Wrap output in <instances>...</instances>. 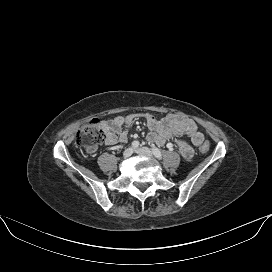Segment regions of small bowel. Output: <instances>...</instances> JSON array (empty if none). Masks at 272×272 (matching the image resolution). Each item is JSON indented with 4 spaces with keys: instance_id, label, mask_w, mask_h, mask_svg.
Wrapping results in <instances>:
<instances>
[{
    "instance_id": "obj_1",
    "label": "small bowel",
    "mask_w": 272,
    "mask_h": 272,
    "mask_svg": "<svg viewBox=\"0 0 272 272\" xmlns=\"http://www.w3.org/2000/svg\"><path fill=\"white\" fill-rule=\"evenodd\" d=\"M143 118L146 120L149 134L147 139L149 142L163 146L168 140H175L176 146L181 156L189 160L194 155L192 145L181 139L186 135L190 138L195 146H199L204 141L203 134L198 130L196 123L181 115H168L165 118L157 119L152 114H129L127 116H116L109 120L100 122L105 133V143L108 146H113L117 143H125L128 139V133L124 129L125 126L132 124L135 120ZM97 146L87 148L89 152H94Z\"/></svg>"
}]
</instances>
